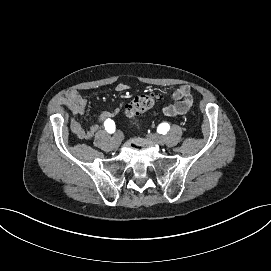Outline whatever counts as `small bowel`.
I'll return each mask as SVG.
<instances>
[{
  "mask_svg": "<svg viewBox=\"0 0 271 271\" xmlns=\"http://www.w3.org/2000/svg\"><path fill=\"white\" fill-rule=\"evenodd\" d=\"M129 90L130 86L125 83H120L116 86L117 92H127ZM171 98L173 99V103L165 106L162 110L165 116L174 117L185 115L189 112L193 104V97L189 86H180L172 93ZM60 103L66 106L74 115H82L86 107L85 98L74 89L67 91L66 94L60 98ZM122 107V103L113 105L115 112L119 111ZM110 117V113L103 112L100 114L98 121L91 124L88 128L83 127L76 119H72L70 128L79 139L88 140L100 130L101 125Z\"/></svg>",
  "mask_w": 271,
  "mask_h": 271,
  "instance_id": "small-bowel-1",
  "label": "small bowel"
}]
</instances>
